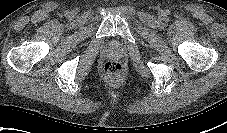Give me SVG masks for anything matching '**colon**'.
<instances>
[{
	"instance_id": "1",
	"label": "colon",
	"mask_w": 227,
	"mask_h": 133,
	"mask_svg": "<svg viewBox=\"0 0 227 133\" xmlns=\"http://www.w3.org/2000/svg\"><path fill=\"white\" fill-rule=\"evenodd\" d=\"M124 66L118 61H107L103 65V72L111 78L118 79L124 75Z\"/></svg>"
}]
</instances>
